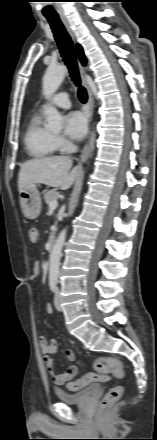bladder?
<instances>
[{"label": "bladder", "mask_w": 157, "mask_h": 440, "mask_svg": "<svg viewBox=\"0 0 157 440\" xmlns=\"http://www.w3.org/2000/svg\"><path fill=\"white\" fill-rule=\"evenodd\" d=\"M97 390L98 385H91L77 392L56 390V396L64 404H82L91 398Z\"/></svg>", "instance_id": "bladder-1"}]
</instances>
